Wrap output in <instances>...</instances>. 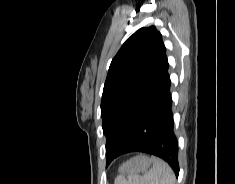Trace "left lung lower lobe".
I'll return each mask as SVG.
<instances>
[{
	"instance_id": "left-lung-lower-lobe-1",
	"label": "left lung lower lobe",
	"mask_w": 235,
	"mask_h": 184,
	"mask_svg": "<svg viewBox=\"0 0 235 184\" xmlns=\"http://www.w3.org/2000/svg\"><path fill=\"white\" fill-rule=\"evenodd\" d=\"M168 68L165 53L152 91L137 115L130 136L116 157L129 152L152 154L165 160L178 177V142L174 134Z\"/></svg>"
}]
</instances>
